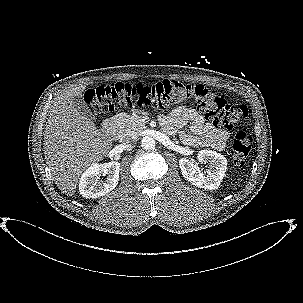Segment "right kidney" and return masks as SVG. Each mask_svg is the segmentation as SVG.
I'll use <instances>...</instances> for the list:
<instances>
[{
	"instance_id": "obj_1",
	"label": "right kidney",
	"mask_w": 303,
	"mask_h": 303,
	"mask_svg": "<svg viewBox=\"0 0 303 303\" xmlns=\"http://www.w3.org/2000/svg\"><path fill=\"white\" fill-rule=\"evenodd\" d=\"M120 163L92 164L80 177L79 192L85 198H98L113 190L119 181ZM101 175H107L105 181L98 182Z\"/></svg>"
}]
</instances>
